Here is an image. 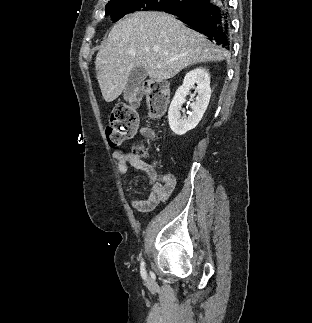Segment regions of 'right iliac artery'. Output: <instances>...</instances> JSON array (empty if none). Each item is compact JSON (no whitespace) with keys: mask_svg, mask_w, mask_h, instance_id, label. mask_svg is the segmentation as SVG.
<instances>
[{"mask_svg":"<svg viewBox=\"0 0 312 323\" xmlns=\"http://www.w3.org/2000/svg\"><path fill=\"white\" fill-rule=\"evenodd\" d=\"M144 265H145V263L143 261H141V266L140 267H141V271H143V272L145 270Z\"/></svg>","mask_w":312,"mask_h":323,"instance_id":"right-iliac-artery-1","label":"right iliac artery"}]
</instances>
